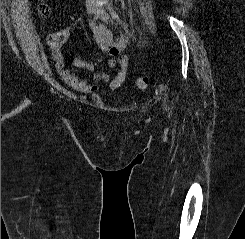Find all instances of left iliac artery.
<instances>
[{
  "label": "left iliac artery",
  "instance_id": "left-iliac-artery-1",
  "mask_svg": "<svg viewBox=\"0 0 245 239\" xmlns=\"http://www.w3.org/2000/svg\"><path fill=\"white\" fill-rule=\"evenodd\" d=\"M107 9H108L109 13L111 14L112 18L114 20H116L120 25H122L124 27V29L128 32L127 27L122 22V20L120 19V17L118 16V14L116 13V11L114 10V8L111 6L110 3H107ZM163 88L166 91V86H163ZM165 96H166V94H165ZM165 100H166V97H165Z\"/></svg>",
  "mask_w": 245,
  "mask_h": 239
}]
</instances>
